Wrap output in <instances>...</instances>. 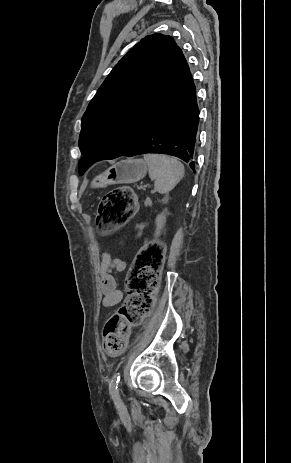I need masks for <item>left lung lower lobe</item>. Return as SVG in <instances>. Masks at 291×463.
Wrapping results in <instances>:
<instances>
[{
    "instance_id": "1",
    "label": "left lung lower lobe",
    "mask_w": 291,
    "mask_h": 463,
    "mask_svg": "<svg viewBox=\"0 0 291 463\" xmlns=\"http://www.w3.org/2000/svg\"><path fill=\"white\" fill-rule=\"evenodd\" d=\"M198 124L199 109L192 80L141 140L121 156L166 154L182 159L195 170Z\"/></svg>"
}]
</instances>
